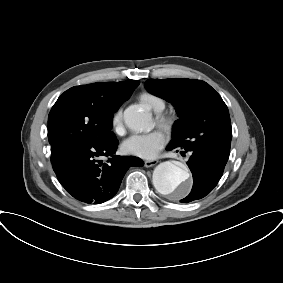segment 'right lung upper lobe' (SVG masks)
<instances>
[{
  "instance_id": "right-lung-upper-lobe-1",
  "label": "right lung upper lobe",
  "mask_w": 283,
  "mask_h": 283,
  "mask_svg": "<svg viewBox=\"0 0 283 283\" xmlns=\"http://www.w3.org/2000/svg\"><path fill=\"white\" fill-rule=\"evenodd\" d=\"M138 85V80H128L122 82H99L76 86V88L95 106L103 110H110L119 108L131 96Z\"/></svg>"
}]
</instances>
